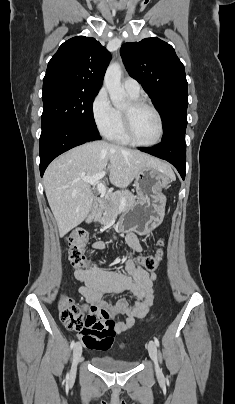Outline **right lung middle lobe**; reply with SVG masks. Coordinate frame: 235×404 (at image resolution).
<instances>
[{"mask_svg": "<svg viewBox=\"0 0 235 404\" xmlns=\"http://www.w3.org/2000/svg\"><path fill=\"white\" fill-rule=\"evenodd\" d=\"M96 95L64 85L43 86L42 129L68 124L98 132L92 109Z\"/></svg>", "mask_w": 235, "mask_h": 404, "instance_id": "1", "label": "right lung middle lobe"}]
</instances>
